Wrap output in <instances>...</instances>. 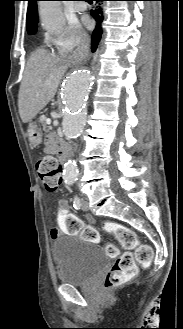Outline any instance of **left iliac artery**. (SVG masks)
Segmentation results:
<instances>
[{
  "mask_svg": "<svg viewBox=\"0 0 183 329\" xmlns=\"http://www.w3.org/2000/svg\"><path fill=\"white\" fill-rule=\"evenodd\" d=\"M73 206L77 210L81 208V200L77 195L74 196Z\"/></svg>",
  "mask_w": 183,
  "mask_h": 329,
  "instance_id": "1",
  "label": "left iliac artery"
}]
</instances>
